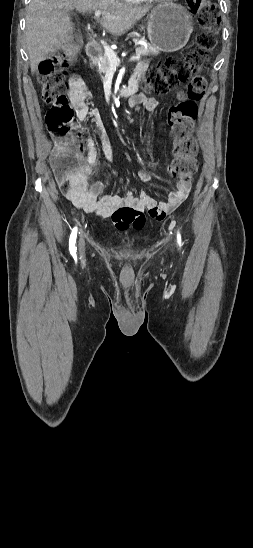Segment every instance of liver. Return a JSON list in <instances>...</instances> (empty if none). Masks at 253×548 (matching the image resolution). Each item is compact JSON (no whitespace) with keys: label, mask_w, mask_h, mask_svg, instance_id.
I'll use <instances>...</instances> for the list:
<instances>
[{"label":"liver","mask_w":253,"mask_h":548,"mask_svg":"<svg viewBox=\"0 0 253 548\" xmlns=\"http://www.w3.org/2000/svg\"><path fill=\"white\" fill-rule=\"evenodd\" d=\"M73 9L80 13L101 11L102 18L98 22L116 36L129 31L149 11V7L132 6L118 0H31L26 15L25 41L32 73L49 53L72 40L74 27L69 13Z\"/></svg>","instance_id":"obj_1"}]
</instances>
